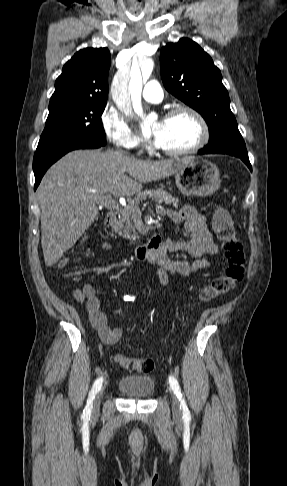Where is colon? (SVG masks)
I'll return each mask as SVG.
<instances>
[{
	"label": "colon",
	"mask_w": 287,
	"mask_h": 486,
	"mask_svg": "<svg viewBox=\"0 0 287 486\" xmlns=\"http://www.w3.org/2000/svg\"><path fill=\"white\" fill-rule=\"evenodd\" d=\"M213 229L222 242L226 266L221 274L213 278L211 283L202 289L200 299L204 302L227 293L242 279L245 270L243 245L237 238L232 218L225 209L219 208L215 211ZM76 298L79 301H84L81 291L76 292ZM116 360L122 367L130 371L148 373L154 368V362L150 358H131L118 355Z\"/></svg>",
	"instance_id": "5ec220e1"
}]
</instances>
